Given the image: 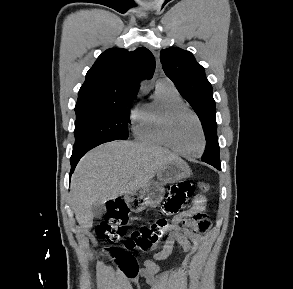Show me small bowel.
Segmentation results:
<instances>
[{"label": "small bowel", "instance_id": "1", "mask_svg": "<svg viewBox=\"0 0 293 289\" xmlns=\"http://www.w3.org/2000/svg\"><path fill=\"white\" fill-rule=\"evenodd\" d=\"M205 202L204 196L199 194L194 196L191 208L174 216L172 223L168 226L161 250L155 252L150 259L144 262L138 275L146 281L149 289H168V283L173 278L186 275L193 255L203 245L204 238L202 234L207 232L210 227L207 217L200 216ZM186 220L199 223L202 227L196 229L194 226L186 225L185 223V226H182L181 222ZM190 228L195 229V231ZM175 243L182 246L186 252V257L180 267L172 270H163L156 264V261L166 259L171 254ZM132 285L134 288H137L136 280H133Z\"/></svg>", "mask_w": 293, "mask_h": 289}]
</instances>
